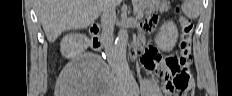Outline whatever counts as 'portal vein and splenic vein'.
Masks as SVG:
<instances>
[{
  "instance_id": "portal-vein-and-splenic-vein-1",
  "label": "portal vein and splenic vein",
  "mask_w": 232,
  "mask_h": 96,
  "mask_svg": "<svg viewBox=\"0 0 232 96\" xmlns=\"http://www.w3.org/2000/svg\"><path fill=\"white\" fill-rule=\"evenodd\" d=\"M141 17H142V15H138V16H137V18H141Z\"/></svg>"
}]
</instances>
